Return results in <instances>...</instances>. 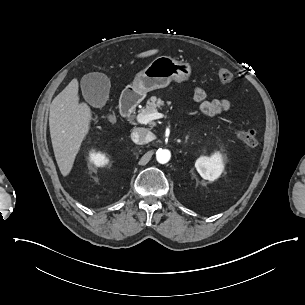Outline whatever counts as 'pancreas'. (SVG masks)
I'll return each mask as SVG.
<instances>
[{"instance_id":"pancreas-1","label":"pancreas","mask_w":305,"mask_h":305,"mask_svg":"<svg viewBox=\"0 0 305 305\" xmlns=\"http://www.w3.org/2000/svg\"><path fill=\"white\" fill-rule=\"evenodd\" d=\"M167 104L170 105L171 102L167 101ZM164 105V101L156 96H152L146 103V107L142 108L139 112H153L156 108H161Z\"/></svg>"}]
</instances>
